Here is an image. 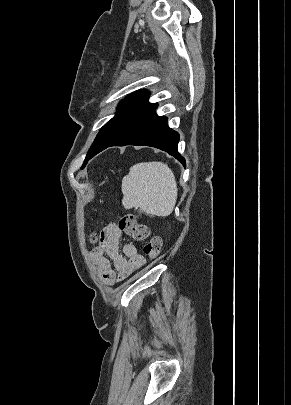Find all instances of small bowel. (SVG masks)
Masks as SVG:
<instances>
[{"label": "small bowel", "instance_id": "c3829d8e", "mask_svg": "<svg viewBox=\"0 0 291 405\" xmlns=\"http://www.w3.org/2000/svg\"><path fill=\"white\" fill-rule=\"evenodd\" d=\"M121 231L114 224H108L100 233V242L91 252V259L97 266L104 284L113 286L129 277L145 264V258L135 245L125 244L120 250Z\"/></svg>", "mask_w": 291, "mask_h": 405}]
</instances>
